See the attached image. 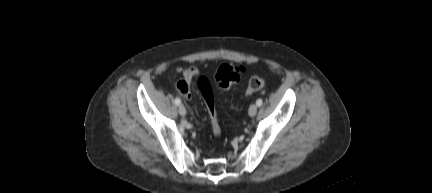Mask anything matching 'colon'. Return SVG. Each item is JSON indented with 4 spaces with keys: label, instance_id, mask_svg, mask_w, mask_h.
<instances>
[{
    "label": "colon",
    "instance_id": "colon-1",
    "mask_svg": "<svg viewBox=\"0 0 432 193\" xmlns=\"http://www.w3.org/2000/svg\"><path fill=\"white\" fill-rule=\"evenodd\" d=\"M244 72L242 67H235L230 65H222L216 72L215 81L222 89H228L230 86L236 84ZM265 81L262 77L253 76L247 85L246 94H252L263 88ZM199 89L205 100L210 124L215 136L221 135V123L218 112L216 110L213 90L209 80L201 77L198 82Z\"/></svg>",
    "mask_w": 432,
    "mask_h": 193
}]
</instances>
